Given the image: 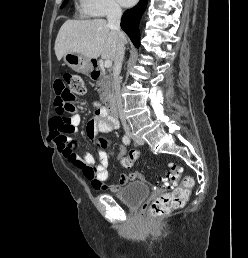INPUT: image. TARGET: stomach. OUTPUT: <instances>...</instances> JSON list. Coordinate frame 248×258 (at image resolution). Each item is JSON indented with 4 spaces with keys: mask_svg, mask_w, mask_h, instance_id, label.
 Segmentation results:
<instances>
[{
    "mask_svg": "<svg viewBox=\"0 0 248 258\" xmlns=\"http://www.w3.org/2000/svg\"><path fill=\"white\" fill-rule=\"evenodd\" d=\"M64 62L75 72L90 74L93 71V63L81 54L68 52L64 55Z\"/></svg>",
    "mask_w": 248,
    "mask_h": 258,
    "instance_id": "0dacf381",
    "label": "stomach"
}]
</instances>
